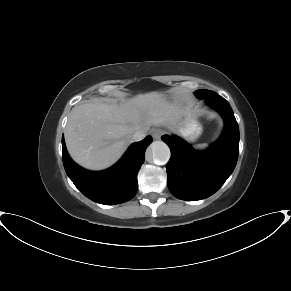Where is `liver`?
<instances>
[{"mask_svg": "<svg viewBox=\"0 0 291 291\" xmlns=\"http://www.w3.org/2000/svg\"><path fill=\"white\" fill-rule=\"evenodd\" d=\"M180 114V104L167 101L159 92L139 94L119 104L83 103L73 109L65 128L67 150L81 166L102 170L122 156L136 131L169 125Z\"/></svg>", "mask_w": 291, "mask_h": 291, "instance_id": "obj_1", "label": "liver"}]
</instances>
